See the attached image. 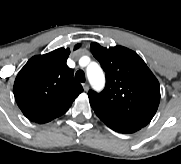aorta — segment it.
<instances>
[{
	"instance_id": "obj_1",
	"label": "aorta",
	"mask_w": 181,
	"mask_h": 164,
	"mask_svg": "<svg viewBox=\"0 0 181 164\" xmlns=\"http://www.w3.org/2000/svg\"><path fill=\"white\" fill-rule=\"evenodd\" d=\"M87 76L91 85L95 89H101L105 82V77L102 69L96 63H93L87 68Z\"/></svg>"
}]
</instances>
